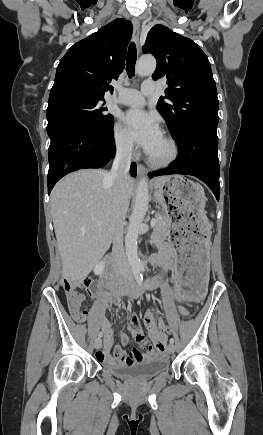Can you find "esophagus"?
Wrapping results in <instances>:
<instances>
[{
    "mask_svg": "<svg viewBox=\"0 0 263 435\" xmlns=\"http://www.w3.org/2000/svg\"><path fill=\"white\" fill-rule=\"evenodd\" d=\"M133 24V38L137 46V50L139 51V35H140V23L138 19L132 20ZM137 173L138 176L142 177L147 174V169L142 164H137Z\"/></svg>",
    "mask_w": 263,
    "mask_h": 435,
    "instance_id": "esophagus-1",
    "label": "esophagus"
}]
</instances>
